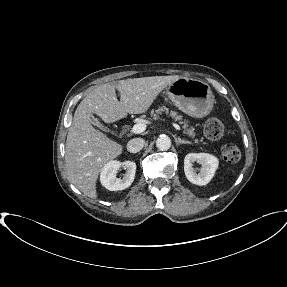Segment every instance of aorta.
I'll return each mask as SVG.
<instances>
[{"label": "aorta", "instance_id": "1", "mask_svg": "<svg viewBox=\"0 0 287 287\" xmlns=\"http://www.w3.org/2000/svg\"><path fill=\"white\" fill-rule=\"evenodd\" d=\"M156 146L159 150L165 151L171 147V140L166 135H161L156 140Z\"/></svg>", "mask_w": 287, "mask_h": 287}]
</instances>
